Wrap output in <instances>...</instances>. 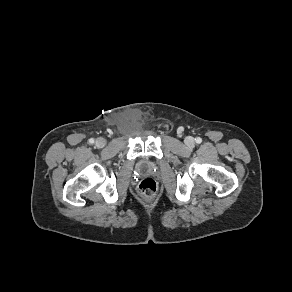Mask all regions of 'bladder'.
Segmentation results:
<instances>
[{"instance_id":"bladder-1","label":"bladder","mask_w":292,"mask_h":292,"mask_svg":"<svg viewBox=\"0 0 292 292\" xmlns=\"http://www.w3.org/2000/svg\"><path fill=\"white\" fill-rule=\"evenodd\" d=\"M139 168L143 171L145 170H148L151 168V165L148 161H145V160H142L140 163H139Z\"/></svg>"}]
</instances>
